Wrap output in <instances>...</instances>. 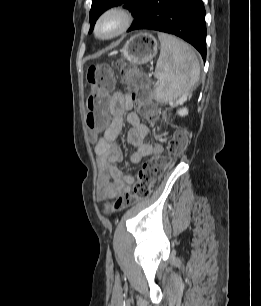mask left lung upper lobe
I'll return each mask as SVG.
<instances>
[{
    "label": "left lung upper lobe",
    "mask_w": 261,
    "mask_h": 306,
    "mask_svg": "<svg viewBox=\"0 0 261 306\" xmlns=\"http://www.w3.org/2000/svg\"><path fill=\"white\" fill-rule=\"evenodd\" d=\"M146 0H92V6L90 10V30L92 32L94 24L98 17L107 9L123 5L124 8H128L132 15L136 16L142 8Z\"/></svg>",
    "instance_id": "1"
}]
</instances>
